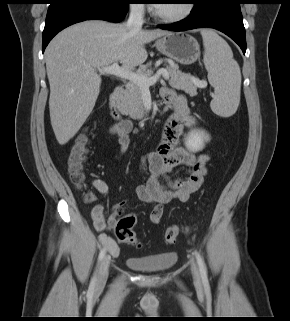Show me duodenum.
Listing matches in <instances>:
<instances>
[{
  "label": "duodenum",
  "instance_id": "duodenum-1",
  "mask_svg": "<svg viewBox=\"0 0 290 321\" xmlns=\"http://www.w3.org/2000/svg\"><path fill=\"white\" fill-rule=\"evenodd\" d=\"M124 95V87L122 85H117L109 96V105L112 115L115 118H122L123 111L121 108V101ZM166 106L169 108H178V105L175 101L167 100Z\"/></svg>",
  "mask_w": 290,
  "mask_h": 321
}]
</instances>
